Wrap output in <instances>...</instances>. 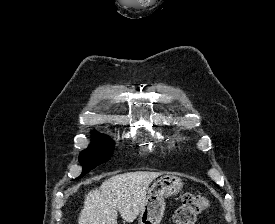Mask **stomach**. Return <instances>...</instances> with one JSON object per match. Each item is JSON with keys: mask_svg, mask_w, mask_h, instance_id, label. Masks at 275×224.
Returning <instances> with one entry per match:
<instances>
[{"mask_svg": "<svg viewBox=\"0 0 275 224\" xmlns=\"http://www.w3.org/2000/svg\"><path fill=\"white\" fill-rule=\"evenodd\" d=\"M182 187V180L174 175H165L156 180L148 191L138 224H159L165 211V198L177 195Z\"/></svg>", "mask_w": 275, "mask_h": 224, "instance_id": "0dacf381", "label": "stomach"}]
</instances>
